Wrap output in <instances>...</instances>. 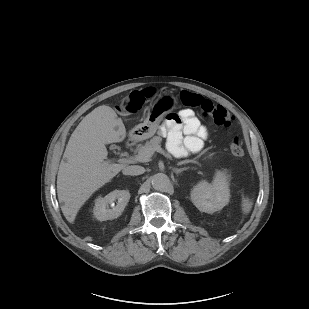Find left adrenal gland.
<instances>
[{
    "mask_svg": "<svg viewBox=\"0 0 309 309\" xmlns=\"http://www.w3.org/2000/svg\"><path fill=\"white\" fill-rule=\"evenodd\" d=\"M185 170H188V168H186V167L180 168V169H178V168H173V171H174L176 174H179V173H181V172H183V171H185Z\"/></svg>",
    "mask_w": 309,
    "mask_h": 309,
    "instance_id": "a2214340",
    "label": "left adrenal gland"
}]
</instances>
